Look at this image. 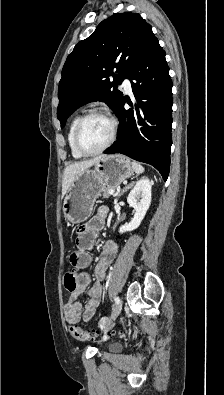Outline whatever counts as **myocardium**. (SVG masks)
Wrapping results in <instances>:
<instances>
[{
  "label": "myocardium",
  "mask_w": 224,
  "mask_h": 395,
  "mask_svg": "<svg viewBox=\"0 0 224 395\" xmlns=\"http://www.w3.org/2000/svg\"><path fill=\"white\" fill-rule=\"evenodd\" d=\"M92 116H101L107 119L111 124V135L108 141L102 147L94 151H87L81 145L80 131L84 121ZM117 134H118V121L109 111L100 108L91 109L87 111L85 114H83L81 117H79L76 123L75 131H74V146L82 156H94L108 149L116 140Z\"/></svg>",
  "instance_id": "obj_1"
}]
</instances>
